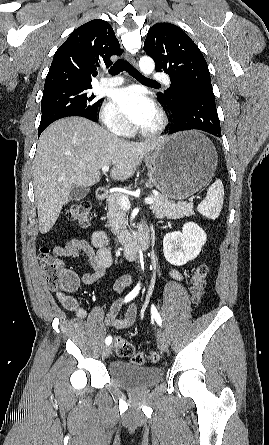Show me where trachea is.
I'll return each instance as SVG.
<instances>
[{"label":"trachea","mask_w":269,"mask_h":445,"mask_svg":"<svg viewBox=\"0 0 269 445\" xmlns=\"http://www.w3.org/2000/svg\"><path fill=\"white\" fill-rule=\"evenodd\" d=\"M124 70H126L131 76H133L137 80L156 83V81L151 80V79L146 78L145 76H143L130 63H128L127 61H125L123 59L117 60L114 63V65L110 68L109 73L111 75H117V74H119L120 72H122Z\"/></svg>","instance_id":"1"}]
</instances>
